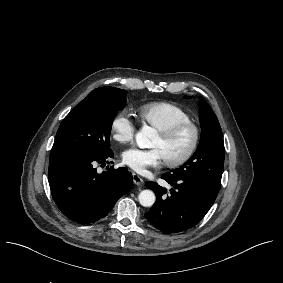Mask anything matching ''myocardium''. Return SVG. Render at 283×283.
Instances as JSON below:
<instances>
[{"mask_svg": "<svg viewBox=\"0 0 283 283\" xmlns=\"http://www.w3.org/2000/svg\"><path fill=\"white\" fill-rule=\"evenodd\" d=\"M185 129H191L193 133V140L191 146L186 151V153L180 158L174 160H170V159L164 160L166 166L169 168H179L186 165L189 161H191V159L195 156V154L199 150L202 140V131L200 126L196 122L192 120H187V121L176 122L165 131L159 132V137L164 142H170L180 132H182Z\"/></svg>", "mask_w": 283, "mask_h": 283, "instance_id": "1", "label": "myocardium"}]
</instances>
